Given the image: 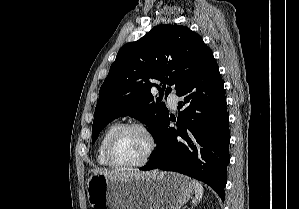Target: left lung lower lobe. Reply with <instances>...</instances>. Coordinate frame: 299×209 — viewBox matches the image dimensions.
<instances>
[{"label":"left lung lower lobe","mask_w":299,"mask_h":209,"mask_svg":"<svg viewBox=\"0 0 299 209\" xmlns=\"http://www.w3.org/2000/svg\"><path fill=\"white\" fill-rule=\"evenodd\" d=\"M177 129L169 127L167 116L156 136L157 149L140 170L176 171L211 186L224 201L229 156V115L224 84L213 58L176 91Z\"/></svg>","instance_id":"obj_1"}]
</instances>
